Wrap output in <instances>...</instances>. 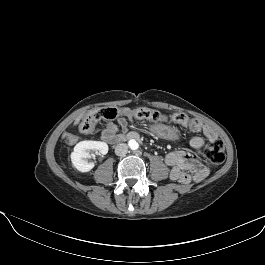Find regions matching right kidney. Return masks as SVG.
Listing matches in <instances>:
<instances>
[{
    "mask_svg": "<svg viewBox=\"0 0 265 265\" xmlns=\"http://www.w3.org/2000/svg\"><path fill=\"white\" fill-rule=\"evenodd\" d=\"M99 151L102 155L108 153V145L100 141H81L74 147L71 154L72 166L80 172H88L94 168V163H88L90 151Z\"/></svg>",
    "mask_w": 265,
    "mask_h": 265,
    "instance_id": "obj_1",
    "label": "right kidney"
}]
</instances>
